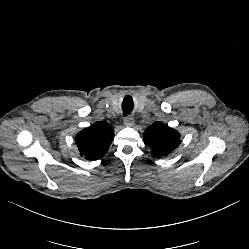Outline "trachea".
<instances>
[{
    "instance_id": "trachea-1",
    "label": "trachea",
    "mask_w": 249,
    "mask_h": 249,
    "mask_svg": "<svg viewBox=\"0 0 249 249\" xmlns=\"http://www.w3.org/2000/svg\"><path fill=\"white\" fill-rule=\"evenodd\" d=\"M132 107H128V106H126V107H123V112H124V116H126L128 113H130L131 111H132Z\"/></svg>"
}]
</instances>
